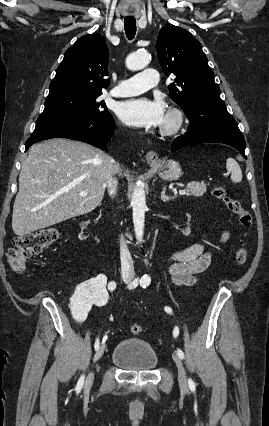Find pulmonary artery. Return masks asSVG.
<instances>
[{"mask_svg": "<svg viewBox=\"0 0 269 426\" xmlns=\"http://www.w3.org/2000/svg\"><path fill=\"white\" fill-rule=\"evenodd\" d=\"M159 81L157 70L147 68L141 72L119 81L118 85L110 91L115 97L133 96L147 91L156 86Z\"/></svg>", "mask_w": 269, "mask_h": 426, "instance_id": "1", "label": "pulmonary artery"}]
</instances>
